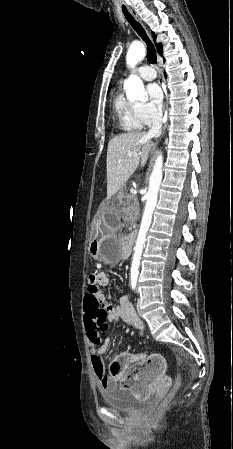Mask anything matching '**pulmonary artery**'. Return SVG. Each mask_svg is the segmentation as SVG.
Listing matches in <instances>:
<instances>
[{
  "mask_svg": "<svg viewBox=\"0 0 233 449\" xmlns=\"http://www.w3.org/2000/svg\"><path fill=\"white\" fill-rule=\"evenodd\" d=\"M139 76L146 81H151L156 78V71L149 65L141 66L138 70Z\"/></svg>",
  "mask_w": 233,
  "mask_h": 449,
  "instance_id": "obj_1",
  "label": "pulmonary artery"
}]
</instances>
